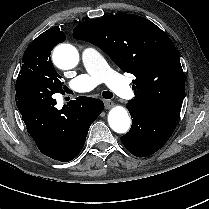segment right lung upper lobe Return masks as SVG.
Returning <instances> with one entry per match:
<instances>
[{
    "label": "right lung upper lobe",
    "instance_id": "cb5924a9",
    "mask_svg": "<svg viewBox=\"0 0 209 209\" xmlns=\"http://www.w3.org/2000/svg\"><path fill=\"white\" fill-rule=\"evenodd\" d=\"M46 35L51 36L55 40L56 45L58 43L65 41V34L60 31L58 26H54V27L48 29L47 31L42 33L40 36H46Z\"/></svg>",
    "mask_w": 209,
    "mask_h": 209
}]
</instances>
